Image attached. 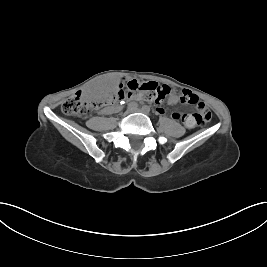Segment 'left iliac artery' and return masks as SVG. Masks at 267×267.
Masks as SVG:
<instances>
[{
  "label": "left iliac artery",
  "instance_id": "obj_1",
  "mask_svg": "<svg viewBox=\"0 0 267 267\" xmlns=\"http://www.w3.org/2000/svg\"><path fill=\"white\" fill-rule=\"evenodd\" d=\"M142 108H144V109L147 110V111H150V107L147 106V105L143 106Z\"/></svg>",
  "mask_w": 267,
  "mask_h": 267
}]
</instances>
